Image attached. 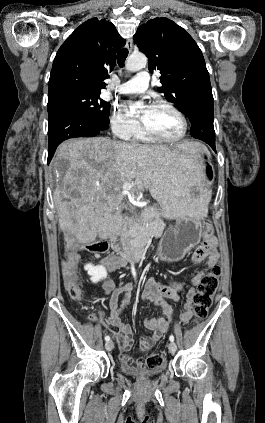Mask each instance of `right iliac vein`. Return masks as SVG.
<instances>
[{"mask_svg":"<svg viewBox=\"0 0 265 423\" xmlns=\"http://www.w3.org/2000/svg\"><path fill=\"white\" fill-rule=\"evenodd\" d=\"M113 347H114L113 341H108V342L105 343V348H106L107 351H111L113 349Z\"/></svg>","mask_w":265,"mask_h":423,"instance_id":"right-iliac-vein-1","label":"right iliac vein"}]
</instances>
